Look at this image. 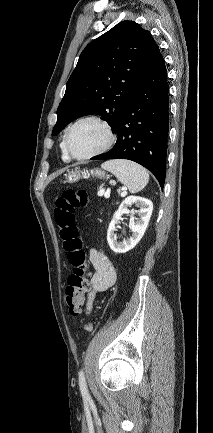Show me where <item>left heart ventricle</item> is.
<instances>
[{"label": "left heart ventricle", "instance_id": "1", "mask_svg": "<svg viewBox=\"0 0 213 433\" xmlns=\"http://www.w3.org/2000/svg\"><path fill=\"white\" fill-rule=\"evenodd\" d=\"M106 141L104 129L94 122H84L78 125L70 135V148L77 156L90 154Z\"/></svg>", "mask_w": 213, "mask_h": 433}]
</instances>
